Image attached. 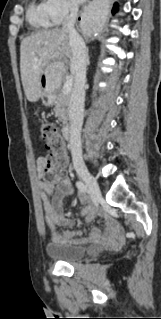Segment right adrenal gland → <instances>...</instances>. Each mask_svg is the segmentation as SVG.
I'll return each mask as SVG.
<instances>
[{
    "label": "right adrenal gland",
    "mask_w": 161,
    "mask_h": 319,
    "mask_svg": "<svg viewBox=\"0 0 161 319\" xmlns=\"http://www.w3.org/2000/svg\"><path fill=\"white\" fill-rule=\"evenodd\" d=\"M87 65H90V57H89V55H87Z\"/></svg>",
    "instance_id": "1"
}]
</instances>
